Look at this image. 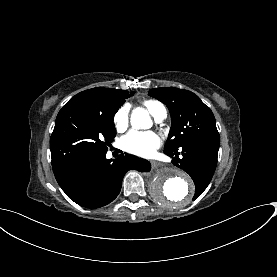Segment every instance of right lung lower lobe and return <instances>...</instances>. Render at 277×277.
<instances>
[{
    "label": "right lung lower lobe",
    "mask_w": 277,
    "mask_h": 277,
    "mask_svg": "<svg viewBox=\"0 0 277 277\" xmlns=\"http://www.w3.org/2000/svg\"><path fill=\"white\" fill-rule=\"evenodd\" d=\"M107 151L77 156L53 166L56 180L66 195L86 208H99L113 201L121 190L125 173L148 172L147 160L121 154L106 159Z\"/></svg>",
    "instance_id": "1"
}]
</instances>
